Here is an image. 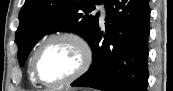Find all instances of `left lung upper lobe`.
Returning <instances> with one entry per match:
<instances>
[{
  "label": "left lung upper lobe",
  "mask_w": 173,
  "mask_h": 91,
  "mask_svg": "<svg viewBox=\"0 0 173 91\" xmlns=\"http://www.w3.org/2000/svg\"><path fill=\"white\" fill-rule=\"evenodd\" d=\"M101 2L106 0H25L16 32L19 64L23 66L36 42L54 30L77 33L89 43L99 22V13H89Z\"/></svg>",
  "instance_id": "5c2ea615"
}]
</instances>
